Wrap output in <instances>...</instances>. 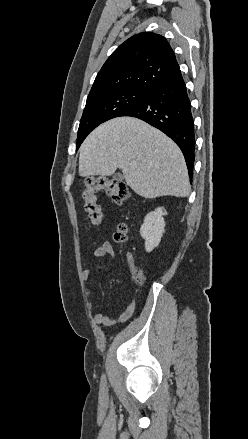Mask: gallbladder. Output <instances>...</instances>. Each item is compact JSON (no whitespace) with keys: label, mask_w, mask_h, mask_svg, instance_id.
I'll return each mask as SVG.
<instances>
[{"label":"gallbladder","mask_w":248,"mask_h":439,"mask_svg":"<svg viewBox=\"0 0 248 439\" xmlns=\"http://www.w3.org/2000/svg\"><path fill=\"white\" fill-rule=\"evenodd\" d=\"M114 178H115L116 180H122V179H123V176H122V174H120V173H116V174L114 175Z\"/></svg>","instance_id":"gallbladder-1"}]
</instances>
